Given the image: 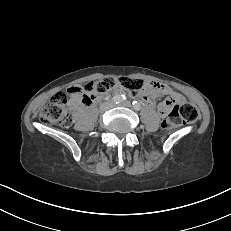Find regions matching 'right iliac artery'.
<instances>
[{
  "mask_svg": "<svg viewBox=\"0 0 231 231\" xmlns=\"http://www.w3.org/2000/svg\"><path fill=\"white\" fill-rule=\"evenodd\" d=\"M124 100H126V96L124 94L122 95L119 94L112 98L113 103H116V104Z\"/></svg>",
  "mask_w": 231,
  "mask_h": 231,
  "instance_id": "obj_1",
  "label": "right iliac artery"
}]
</instances>
